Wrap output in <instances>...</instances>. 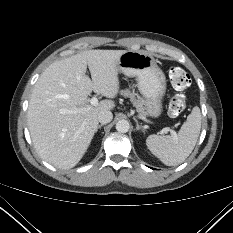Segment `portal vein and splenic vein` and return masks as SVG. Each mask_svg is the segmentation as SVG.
I'll return each instance as SVG.
<instances>
[{"label":"portal vein and splenic vein","mask_w":233,"mask_h":233,"mask_svg":"<svg viewBox=\"0 0 233 233\" xmlns=\"http://www.w3.org/2000/svg\"><path fill=\"white\" fill-rule=\"evenodd\" d=\"M96 105H98V99H97L96 97H92V98L90 99V105H89L87 108H85V109H90L91 106H96ZM140 118H141L142 120H145L144 117H140ZM165 130H166L167 132L170 131L172 134H175V132H174L173 130L169 129V128H166Z\"/></svg>","instance_id":"18ae733b"}]
</instances>
